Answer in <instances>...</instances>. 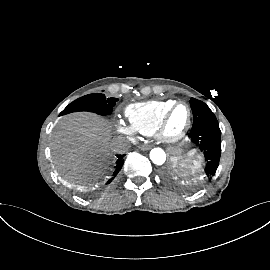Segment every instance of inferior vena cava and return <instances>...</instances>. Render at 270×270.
I'll use <instances>...</instances> for the list:
<instances>
[{"instance_id":"602c4592","label":"inferior vena cava","mask_w":270,"mask_h":270,"mask_svg":"<svg viewBox=\"0 0 270 270\" xmlns=\"http://www.w3.org/2000/svg\"><path fill=\"white\" fill-rule=\"evenodd\" d=\"M130 148L127 140L118 138L111 143V149L117 153H124Z\"/></svg>"}]
</instances>
